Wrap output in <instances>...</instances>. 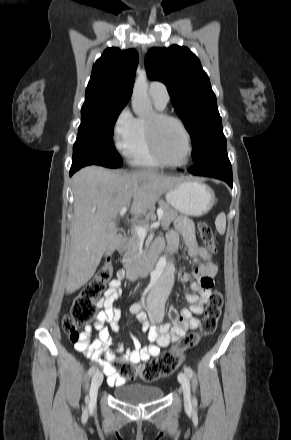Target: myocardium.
<instances>
[{"label":"myocardium","mask_w":291,"mask_h":440,"mask_svg":"<svg viewBox=\"0 0 291 440\" xmlns=\"http://www.w3.org/2000/svg\"><path fill=\"white\" fill-rule=\"evenodd\" d=\"M165 121H172V122L176 123L181 128V130L183 131V133L186 137L187 155H186V158L183 162H180V163L169 162L162 156V154L159 150V147L157 144V138H156L157 129H158V126ZM145 130H146V135H147V140H148L150 150H151L153 156L155 157V159L160 164H162L163 166H166V167H171V168H182V167H185L186 165H188V163L192 157V154H193V145H192L191 134L181 119H179L176 116L170 115L168 113L162 112V111H155L152 113L151 118L145 119Z\"/></svg>","instance_id":"obj_1"}]
</instances>
